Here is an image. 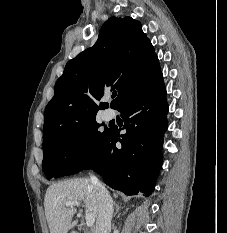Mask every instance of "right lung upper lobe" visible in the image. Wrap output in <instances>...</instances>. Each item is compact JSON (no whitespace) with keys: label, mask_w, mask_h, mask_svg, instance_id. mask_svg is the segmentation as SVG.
<instances>
[{"label":"right lung upper lobe","mask_w":227,"mask_h":233,"mask_svg":"<svg viewBox=\"0 0 227 233\" xmlns=\"http://www.w3.org/2000/svg\"><path fill=\"white\" fill-rule=\"evenodd\" d=\"M162 73L154 47L131 17L109 18L93 47L67 62L45 109L43 145L95 120L108 91L117 89L116 109L144 93Z\"/></svg>","instance_id":"right-lung-upper-lobe-1"}]
</instances>
